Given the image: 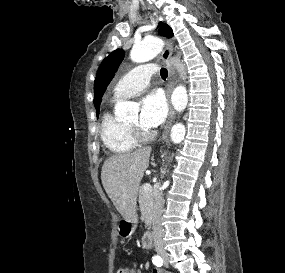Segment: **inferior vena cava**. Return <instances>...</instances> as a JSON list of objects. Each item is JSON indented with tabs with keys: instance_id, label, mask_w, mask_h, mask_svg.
Returning a JSON list of instances; mask_svg holds the SVG:
<instances>
[{
	"instance_id": "602c4592",
	"label": "inferior vena cava",
	"mask_w": 285,
	"mask_h": 273,
	"mask_svg": "<svg viewBox=\"0 0 285 273\" xmlns=\"http://www.w3.org/2000/svg\"><path fill=\"white\" fill-rule=\"evenodd\" d=\"M163 208V194L157 192L154 197V203L152 208V229L155 250L158 254H166L164 243H163V229L161 222Z\"/></svg>"
}]
</instances>
